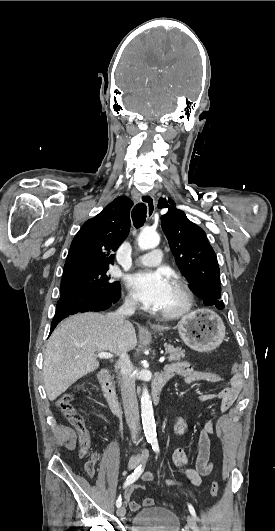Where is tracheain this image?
I'll return each mask as SVG.
<instances>
[{
    "label": "trachea",
    "instance_id": "1",
    "mask_svg": "<svg viewBox=\"0 0 275 531\" xmlns=\"http://www.w3.org/2000/svg\"><path fill=\"white\" fill-rule=\"evenodd\" d=\"M147 216V208L144 203H138L132 210V221L135 228H141L145 223Z\"/></svg>",
    "mask_w": 275,
    "mask_h": 531
}]
</instances>
